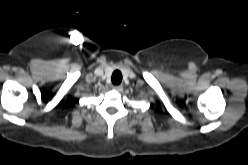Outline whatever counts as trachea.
Masks as SVG:
<instances>
[{"mask_svg":"<svg viewBox=\"0 0 248 165\" xmlns=\"http://www.w3.org/2000/svg\"><path fill=\"white\" fill-rule=\"evenodd\" d=\"M122 81V74L120 71L116 70L112 74V83L115 85H119Z\"/></svg>","mask_w":248,"mask_h":165,"instance_id":"1","label":"trachea"}]
</instances>
